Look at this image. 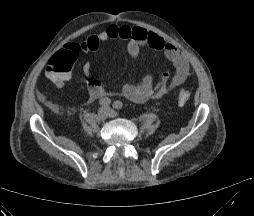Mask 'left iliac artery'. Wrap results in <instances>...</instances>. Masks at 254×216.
I'll list each match as a JSON object with an SVG mask.
<instances>
[{"instance_id": "obj_1", "label": "left iliac artery", "mask_w": 254, "mask_h": 216, "mask_svg": "<svg viewBox=\"0 0 254 216\" xmlns=\"http://www.w3.org/2000/svg\"><path fill=\"white\" fill-rule=\"evenodd\" d=\"M122 107H123V103L121 101H115L113 103V108H115L117 110L122 109Z\"/></svg>"}]
</instances>
